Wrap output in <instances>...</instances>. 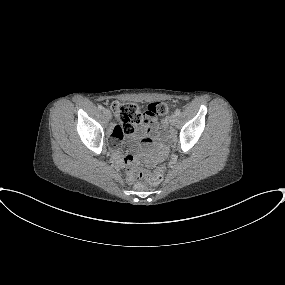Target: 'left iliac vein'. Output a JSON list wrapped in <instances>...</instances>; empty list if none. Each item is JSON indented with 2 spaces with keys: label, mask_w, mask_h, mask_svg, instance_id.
<instances>
[{
  "label": "left iliac vein",
  "mask_w": 285,
  "mask_h": 285,
  "mask_svg": "<svg viewBox=\"0 0 285 285\" xmlns=\"http://www.w3.org/2000/svg\"><path fill=\"white\" fill-rule=\"evenodd\" d=\"M177 119H178V116L174 113V114H172L171 116H170V124L171 125H175L176 124V122H177Z\"/></svg>",
  "instance_id": "obj_1"
}]
</instances>
